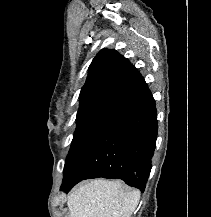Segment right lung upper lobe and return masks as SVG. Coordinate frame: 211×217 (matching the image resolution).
I'll return each mask as SVG.
<instances>
[{
    "label": "right lung upper lobe",
    "instance_id": "obj_1",
    "mask_svg": "<svg viewBox=\"0 0 211 217\" xmlns=\"http://www.w3.org/2000/svg\"><path fill=\"white\" fill-rule=\"evenodd\" d=\"M149 93L143 77L126 58L115 50L103 49L89 67L77 119L117 117Z\"/></svg>",
    "mask_w": 211,
    "mask_h": 217
}]
</instances>
